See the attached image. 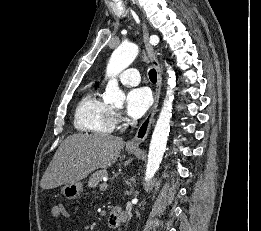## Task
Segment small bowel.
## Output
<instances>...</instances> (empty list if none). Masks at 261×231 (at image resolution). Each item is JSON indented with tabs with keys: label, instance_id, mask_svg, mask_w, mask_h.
Here are the masks:
<instances>
[{
	"label": "small bowel",
	"instance_id": "c3829d8e",
	"mask_svg": "<svg viewBox=\"0 0 261 231\" xmlns=\"http://www.w3.org/2000/svg\"><path fill=\"white\" fill-rule=\"evenodd\" d=\"M50 215L53 218L67 216V211L65 210V207L62 204H55L51 208Z\"/></svg>",
	"mask_w": 261,
	"mask_h": 231
}]
</instances>
